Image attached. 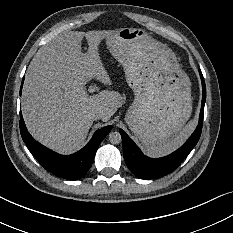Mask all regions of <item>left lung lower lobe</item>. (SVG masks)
<instances>
[{"label": "left lung lower lobe", "mask_w": 233, "mask_h": 233, "mask_svg": "<svg viewBox=\"0 0 233 233\" xmlns=\"http://www.w3.org/2000/svg\"><path fill=\"white\" fill-rule=\"evenodd\" d=\"M199 73L202 81V103L199 124L190 138L178 150L162 158H149L140 151L136 144L122 129H119L122 136L125 163L130 171L137 177L142 179H154L169 174L181 164L197 144L202 131L204 105L206 101V86L201 70H199Z\"/></svg>", "instance_id": "obj_1"}]
</instances>
